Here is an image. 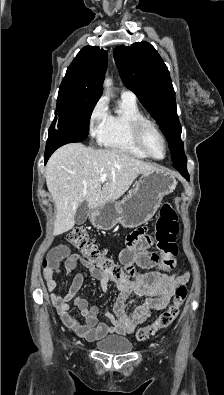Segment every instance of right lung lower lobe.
<instances>
[{
	"mask_svg": "<svg viewBox=\"0 0 224 395\" xmlns=\"http://www.w3.org/2000/svg\"><path fill=\"white\" fill-rule=\"evenodd\" d=\"M73 142H79V141L69 138V137H58V136L49 135L47 144H46V149H45V156H44L45 164L48 161L51 154L57 148H59L62 145H65L67 143H73Z\"/></svg>",
	"mask_w": 224,
	"mask_h": 395,
	"instance_id": "1",
	"label": "right lung lower lobe"
}]
</instances>
